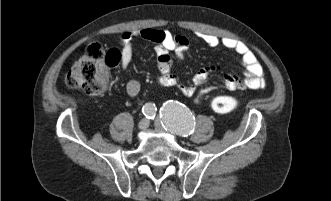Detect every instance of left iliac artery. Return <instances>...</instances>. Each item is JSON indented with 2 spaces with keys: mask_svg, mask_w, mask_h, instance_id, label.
Wrapping results in <instances>:
<instances>
[{
  "mask_svg": "<svg viewBox=\"0 0 331 201\" xmlns=\"http://www.w3.org/2000/svg\"><path fill=\"white\" fill-rule=\"evenodd\" d=\"M163 127L172 133L188 136L194 131L195 118L189 109L178 101H167L160 108Z\"/></svg>",
  "mask_w": 331,
  "mask_h": 201,
  "instance_id": "obj_1",
  "label": "left iliac artery"
}]
</instances>
